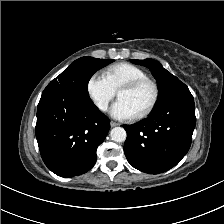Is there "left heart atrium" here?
Here are the masks:
<instances>
[{"label":"left heart atrium","instance_id":"obj_1","mask_svg":"<svg viewBox=\"0 0 224 224\" xmlns=\"http://www.w3.org/2000/svg\"><path fill=\"white\" fill-rule=\"evenodd\" d=\"M110 114L118 120H131L137 116L135 110L124 100L116 101L111 107Z\"/></svg>","mask_w":224,"mask_h":224}]
</instances>
